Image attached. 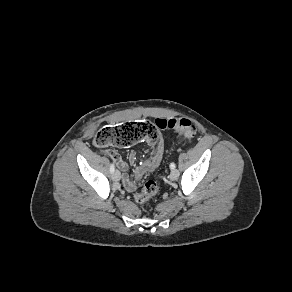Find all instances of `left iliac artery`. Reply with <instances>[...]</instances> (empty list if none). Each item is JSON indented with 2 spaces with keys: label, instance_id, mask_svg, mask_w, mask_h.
<instances>
[{
  "label": "left iliac artery",
  "instance_id": "obj_1",
  "mask_svg": "<svg viewBox=\"0 0 292 292\" xmlns=\"http://www.w3.org/2000/svg\"><path fill=\"white\" fill-rule=\"evenodd\" d=\"M175 167H176V165H175V163L174 162H172L171 164H170V169H175Z\"/></svg>",
  "mask_w": 292,
  "mask_h": 292
}]
</instances>
